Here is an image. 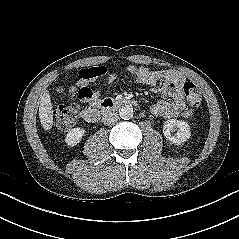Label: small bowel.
Masks as SVG:
<instances>
[{
	"label": "small bowel",
	"mask_w": 239,
	"mask_h": 239,
	"mask_svg": "<svg viewBox=\"0 0 239 239\" xmlns=\"http://www.w3.org/2000/svg\"><path fill=\"white\" fill-rule=\"evenodd\" d=\"M96 68L98 67L84 68L78 73V96L82 102L91 106H96L101 101L100 90L92 88L91 86V84L102 76L90 75ZM127 71L130 75L135 77L138 83L144 85L153 86L159 80H164V84L161 88V94L164 99L152 106L151 110L153 114L163 118H187L191 116L192 112L185 107L184 97L180 90L183 82V78L180 75L169 71L152 70L146 66L133 65L129 66ZM114 78V74H109L107 81L112 82Z\"/></svg>",
	"instance_id": "small-bowel-1"
}]
</instances>
